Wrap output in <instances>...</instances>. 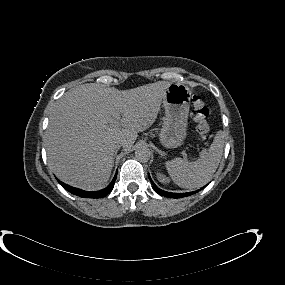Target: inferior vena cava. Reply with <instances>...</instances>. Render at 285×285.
<instances>
[{
  "instance_id": "obj_1",
  "label": "inferior vena cava",
  "mask_w": 285,
  "mask_h": 285,
  "mask_svg": "<svg viewBox=\"0 0 285 285\" xmlns=\"http://www.w3.org/2000/svg\"><path fill=\"white\" fill-rule=\"evenodd\" d=\"M124 146V141L123 140H118L116 143H115V148H120Z\"/></svg>"
}]
</instances>
